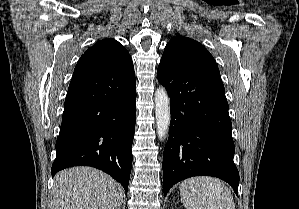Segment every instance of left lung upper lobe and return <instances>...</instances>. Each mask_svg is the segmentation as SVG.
I'll return each instance as SVG.
<instances>
[{
    "label": "left lung upper lobe",
    "mask_w": 299,
    "mask_h": 209,
    "mask_svg": "<svg viewBox=\"0 0 299 209\" xmlns=\"http://www.w3.org/2000/svg\"><path fill=\"white\" fill-rule=\"evenodd\" d=\"M160 65L178 71L220 74L213 56L199 42L183 36L173 37L164 49Z\"/></svg>",
    "instance_id": "obj_1"
}]
</instances>
